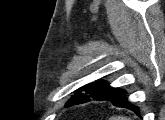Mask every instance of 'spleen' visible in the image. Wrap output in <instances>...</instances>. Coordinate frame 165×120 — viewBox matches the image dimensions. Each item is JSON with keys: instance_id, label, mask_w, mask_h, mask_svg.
Instances as JSON below:
<instances>
[{"instance_id": "1", "label": "spleen", "mask_w": 165, "mask_h": 120, "mask_svg": "<svg viewBox=\"0 0 165 120\" xmlns=\"http://www.w3.org/2000/svg\"><path fill=\"white\" fill-rule=\"evenodd\" d=\"M109 120H130V118H127L125 116H113Z\"/></svg>"}]
</instances>
